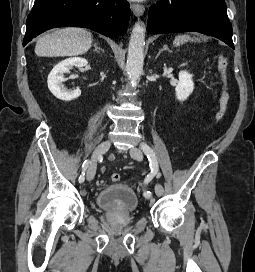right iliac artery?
I'll use <instances>...</instances> for the list:
<instances>
[{
	"mask_svg": "<svg viewBox=\"0 0 255 272\" xmlns=\"http://www.w3.org/2000/svg\"><path fill=\"white\" fill-rule=\"evenodd\" d=\"M89 164H90V160L89 159H87V160H85L83 162V164H82V173H81V175L79 177V183H83L84 182V180H85V171L88 168Z\"/></svg>",
	"mask_w": 255,
	"mask_h": 272,
	"instance_id": "82829eb1",
	"label": "right iliac artery"
}]
</instances>
